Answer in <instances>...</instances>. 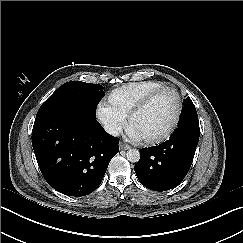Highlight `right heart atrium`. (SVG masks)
<instances>
[{
    "instance_id": "obj_1",
    "label": "right heart atrium",
    "mask_w": 243,
    "mask_h": 243,
    "mask_svg": "<svg viewBox=\"0 0 243 243\" xmlns=\"http://www.w3.org/2000/svg\"><path fill=\"white\" fill-rule=\"evenodd\" d=\"M96 115L100 123L111 134L118 133L124 126V120L107 104H100Z\"/></svg>"
}]
</instances>
